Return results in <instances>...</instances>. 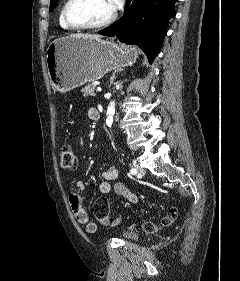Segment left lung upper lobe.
<instances>
[{
  "label": "left lung upper lobe",
  "instance_id": "1",
  "mask_svg": "<svg viewBox=\"0 0 240 281\" xmlns=\"http://www.w3.org/2000/svg\"><path fill=\"white\" fill-rule=\"evenodd\" d=\"M59 0H51L50 1V11H52L54 9V7L56 6V4L58 3Z\"/></svg>",
  "mask_w": 240,
  "mask_h": 281
}]
</instances>
